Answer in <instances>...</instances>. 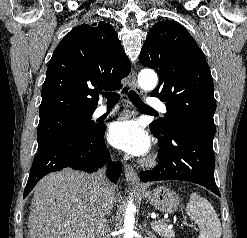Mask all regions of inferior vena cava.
I'll return each mask as SVG.
<instances>
[{"instance_id": "inferior-vena-cava-1", "label": "inferior vena cava", "mask_w": 247, "mask_h": 238, "mask_svg": "<svg viewBox=\"0 0 247 238\" xmlns=\"http://www.w3.org/2000/svg\"><path fill=\"white\" fill-rule=\"evenodd\" d=\"M92 179L95 200V233L93 234V238H109L107 234V223L103 213V200L106 197L109 187L104 169L92 175Z\"/></svg>"}]
</instances>
